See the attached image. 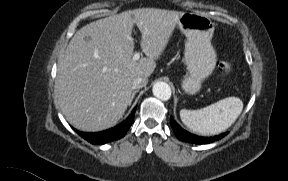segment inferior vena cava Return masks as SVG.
Returning a JSON list of instances; mask_svg holds the SVG:
<instances>
[{
	"label": "inferior vena cava",
	"instance_id": "inferior-vena-cava-1",
	"mask_svg": "<svg viewBox=\"0 0 288 181\" xmlns=\"http://www.w3.org/2000/svg\"><path fill=\"white\" fill-rule=\"evenodd\" d=\"M148 79L145 77H136L132 82V89H140L147 85Z\"/></svg>",
	"mask_w": 288,
	"mask_h": 181
}]
</instances>
